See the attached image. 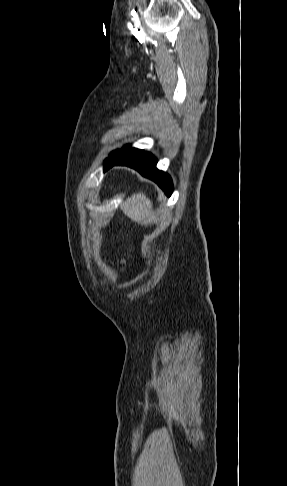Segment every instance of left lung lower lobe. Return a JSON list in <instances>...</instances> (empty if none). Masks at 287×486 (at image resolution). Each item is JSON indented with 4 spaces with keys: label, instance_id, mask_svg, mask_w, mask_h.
Masks as SVG:
<instances>
[{
    "label": "left lung lower lobe",
    "instance_id": "left-lung-lower-lobe-1",
    "mask_svg": "<svg viewBox=\"0 0 287 486\" xmlns=\"http://www.w3.org/2000/svg\"><path fill=\"white\" fill-rule=\"evenodd\" d=\"M157 160L152 154L144 150H136L128 154L111 157L104 163V171L115 165H126L137 170L142 176L156 182L167 196L172 194V180L170 176L156 168Z\"/></svg>",
    "mask_w": 287,
    "mask_h": 486
}]
</instances>
